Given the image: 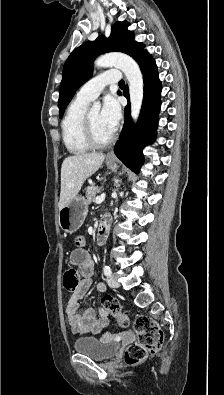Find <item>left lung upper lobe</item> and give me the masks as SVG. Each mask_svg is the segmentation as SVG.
<instances>
[{"mask_svg":"<svg viewBox=\"0 0 224 395\" xmlns=\"http://www.w3.org/2000/svg\"><path fill=\"white\" fill-rule=\"evenodd\" d=\"M128 25L126 21L116 22L112 26L109 38L100 36L95 41H87L70 54L63 68L60 85V118L77 89L91 77L93 61L99 54L103 51H119L135 58L144 48L142 43L134 41L133 32L127 29Z\"/></svg>","mask_w":224,"mask_h":395,"instance_id":"obj_1","label":"left lung upper lobe"}]
</instances>
